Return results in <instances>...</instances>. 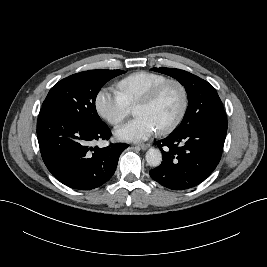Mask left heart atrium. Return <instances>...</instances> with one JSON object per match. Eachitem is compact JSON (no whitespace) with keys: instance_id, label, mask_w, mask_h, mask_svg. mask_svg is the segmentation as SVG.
<instances>
[{"instance_id":"left-heart-atrium-1","label":"left heart atrium","mask_w":267,"mask_h":267,"mask_svg":"<svg viewBox=\"0 0 267 267\" xmlns=\"http://www.w3.org/2000/svg\"><path fill=\"white\" fill-rule=\"evenodd\" d=\"M157 128L155 124L146 116H137L115 131L117 138L126 141H143L151 137Z\"/></svg>"}]
</instances>
